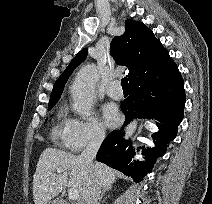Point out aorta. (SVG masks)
Returning a JSON list of instances; mask_svg holds the SVG:
<instances>
[{
	"label": "aorta",
	"instance_id": "762f6f07",
	"mask_svg": "<svg viewBox=\"0 0 212 204\" xmlns=\"http://www.w3.org/2000/svg\"><path fill=\"white\" fill-rule=\"evenodd\" d=\"M99 79L98 69L95 64H88L81 68L71 87L73 97V109L83 119L90 116L92 112L95 87ZM137 127L136 122L130 123L126 128L125 136L129 138L133 135Z\"/></svg>",
	"mask_w": 212,
	"mask_h": 204
}]
</instances>
